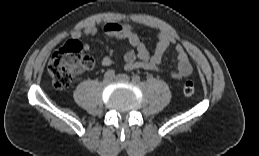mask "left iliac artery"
Here are the masks:
<instances>
[{"label": "left iliac artery", "instance_id": "1", "mask_svg": "<svg viewBox=\"0 0 259 156\" xmlns=\"http://www.w3.org/2000/svg\"><path fill=\"white\" fill-rule=\"evenodd\" d=\"M132 80H133L134 82H139V81H140V76H139V75H133V76H132Z\"/></svg>", "mask_w": 259, "mask_h": 156}]
</instances>
